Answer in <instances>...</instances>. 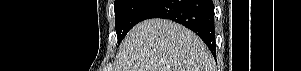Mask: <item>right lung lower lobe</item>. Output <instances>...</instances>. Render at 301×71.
Returning a JSON list of instances; mask_svg holds the SVG:
<instances>
[{"instance_id": "right-lung-lower-lobe-1", "label": "right lung lower lobe", "mask_w": 301, "mask_h": 71, "mask_svg": "<svg viewBox=\"0 0 301 71\" xmlns=\"http://www.w3.org/2000/svg\"><path fill=\"white\" fill-rule=\"evenodd\" d=\"M150 18L170 19L191 29L216 57L212 0H155L142 14L140 21Z\"/></svg>"}]
</instances>
